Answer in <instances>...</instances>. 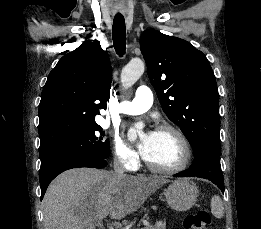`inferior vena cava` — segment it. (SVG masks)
Returning <instances> with one entry per match:
<instances>
[{"mask_svg": "<svg viewBox=\"0 0 261 229\" xmlns=\"http://www.w3.org/2000/svg\"><path fill=\"white\" fill-rule=\"evenodd\" d=\"M113 169H114V173H116L118 177H125L123 161H121V159H114Z\"/></svg>", "mask_w": 261, "mask_h": 229, "instance_id": "1", "label": "inferior vena cava"}]
</instances>
